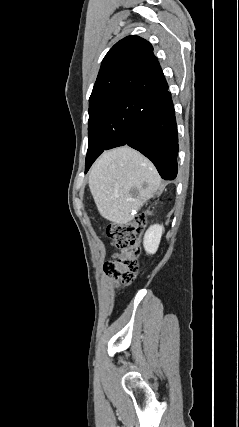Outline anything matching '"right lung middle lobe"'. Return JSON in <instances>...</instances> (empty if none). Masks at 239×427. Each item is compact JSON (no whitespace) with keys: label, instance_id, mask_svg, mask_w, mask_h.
<instances>
[{"label":"right lung middle lobe","instance_id":"obj_1","mask_svg":"<svg viewBox=\"0 0 239 427\" xmlns=\"http://www.w3.org/2000/svg\"><path fill=\"white\" fill-rule=\"evenodd\" d=\"M144 101L142 97L125 96L89 105L85 172L104 150L118 147L126 141L133 118L143 107Z\"/></svg>","mask_w":239,"mask_h":427}]
</instances>
